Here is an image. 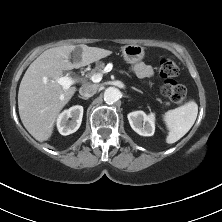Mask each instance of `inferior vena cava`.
Masks as SVG:
<instances>
[{"label": "inferior vena cava", "instance_id": "602c4592", "mask_svg": "<svg viewBox=\"0 0 222 222\" xmlns=\"http://www.w3.org/2000/svg\"><path fill=\"white\" fill-rule=\"evenodd\" d=\"M97 90H98V86L95 84H84L82 85V87H80L79 93L83 97L89 98L95 95Z\"/></svg>", "mask_w": 222, "mask_h": 222}]
</instances>
